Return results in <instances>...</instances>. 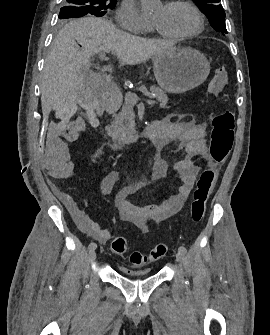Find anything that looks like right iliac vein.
<instances>
[{
    "instance_id": "obj_1",
    "label": "right iliac vein",
    "mask_w": 270,
    "mask_h": 335,
    "mask_svg": "<svg viewBox=\"0 0 270 335\" xmlns=\"http://www.w3.org/2000/svg\"><path fill=\"white\" fill-rule=\"evenodd\" d=\"M89 256H90V259H91V260H95V258H96V252H95V249L90 250V252H89Z\"/></svg>"
}]
</instances>
